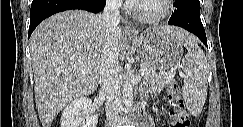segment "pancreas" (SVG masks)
<instances>
[{
    "label": "pancreas",
    "instance_id": "1",
    "mask_svg": "<svg viewBox=\"0 0 243 127\" xmlns=\"http://www.w3.org/2000/svg\"><path fill=\"white\" fill-rule=\"evenodd\" d=\"M141 67L146 70L143 77L154 92H158L166 85L174 82V78L170 73H157L153 67L145 62L141 64Z\"/></svg>",
    "mask_w": 243,
    "mask_h": 127
}]
</instances>
